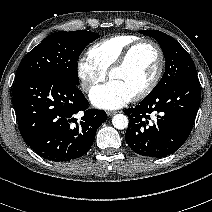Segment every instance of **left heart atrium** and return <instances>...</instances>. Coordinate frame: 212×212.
<instances>
[{
    "label": "left heart atrium",
    "mask_w": 212,
    "mask_h": 212,
    "mask_svg": "<svg viewBox=\"0 0 212 212\" xmlns=\"http://www.w3.org/2000/svg\"><path fill=\"white\" fill-rule=\"evenodd\" d=\"M133 96L110 81L105 85L96 87L90 93V100L93 105L102 109H117L132 100Z\"/></svg>",
    "instance_id": "left-heart-atrium-1"
}]
</instances>
